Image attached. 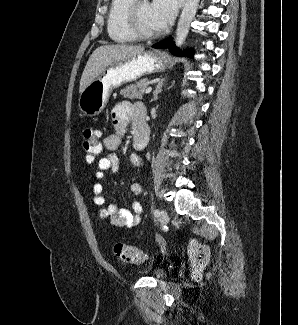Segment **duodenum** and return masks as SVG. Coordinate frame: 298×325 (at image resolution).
I'll list each match as a JSON object with an SVG mask.
<instances>
[{"instance_id": "duodenum-1", "label": "duodenum", "mask_w": 298, "mask_h": 325, "mask_svg": "<svg viewBox=\"0 0 298 325\" xmlns=\"http://www.w3.org/2000/svg\"><path fill=\"white\" fill-rule=\"evenodd\" d=\"M134 128V146L143 149L148 143L150 129L147 122L146 108L143 104H136L132 116Z\"/></svg>"}]
</instances>
